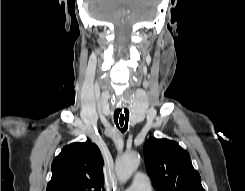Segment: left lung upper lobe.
I'll return each mask as SVG.
<instances>
[{
    "instance_id": "1",
    "label": "left lung upper lobe",
    "mask_w": 245,
    "mask_h": 191,
    "mask_svg": "<svg viewBox=\"0 0 245 191\" xmlns=\"http://www.w3.org/2000/svg\"><path fill=\"white\" fill-rule=\"evenodd\" d=\"M144 160L156 191H205L189 153L175 141L150 138Z\"/></svg>"
}]
</instances>
